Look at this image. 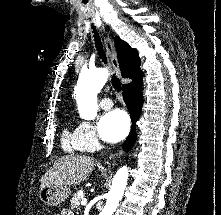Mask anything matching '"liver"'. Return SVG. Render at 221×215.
<instances>
[{"mask_svg":"<svg viewBox=\"0 0 221 215\" xmlns=\"http://www.w3.org/2000/svg\"><path fill=\"white\" fill-rule=\"evenodd\" d=\"M95 166V159L89 156L67 155L57 159L41 180L40 190L53 185L70 188L87 180Z\"/></svg>","mask_w":221,"mask_h":215,"instance_id":"6515ba94","label":"liver"}]
</instances>
